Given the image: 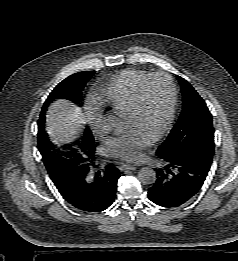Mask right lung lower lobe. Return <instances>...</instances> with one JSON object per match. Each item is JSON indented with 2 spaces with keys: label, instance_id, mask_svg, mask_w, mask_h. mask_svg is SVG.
Listing matches in <instances>:
<instances>
[{
  "label": "right lung lower lobe",
  "instance_id": "obj_1",
  "mask_svg": "<svg viewBox=\"0 0 238 261\" xmlns=\"http://www.w3.org/2000/svg\"><path fill=\"white\" fill-rule=\"evenodd\" d=\"M93 164L80 170L64 184H55L63 198L73 207L85 212H100L115 200L120 172L107 165L101 172L92 173Z\"/></svg>",
  "mask_w": 238,
  "mask_h": 261
}]
</instances>
